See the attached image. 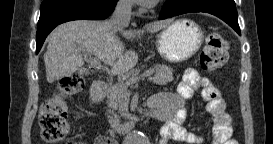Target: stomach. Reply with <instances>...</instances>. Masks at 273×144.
<instances>
[{
    "label": "stomach",
    "instance_id": "obj_1",
    "mask_svg": "<svg viewBox=\"0 0 273 144\" xmlns=\"http://www.w3.org/2000/svg\"><path fill=\"white\" fill-rule=\"evenodd\" d=\"M204 40L199 25L189 19L172 22L157 36L156 47L169 62H182L192 57Z\"/></svg>",
    "mask_w": 273,
    "mask_h": 144
}]
</instances>
